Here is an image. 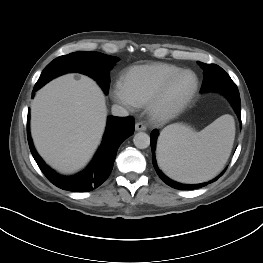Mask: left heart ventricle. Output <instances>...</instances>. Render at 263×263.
Masks as SVG:
<instances>
[{
    "instance_id": "obj_1",
    "label": "left heart ventricle",
    "mask_w": 263,
    "mask_h": 263,
    "mask_svg": "<svg viewBox=\"0 0 263 263\" xmlns=\"http://www.w3.org/2000/svg\"><path fill=\"white\" fill-rule=\"evenodd\" d=\"M194 83L195 78L190 73H186L179 77L170 87L164 105L171 106L184 99L192 90Z\"/></svg>"
}]
</instances>
